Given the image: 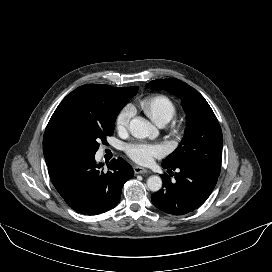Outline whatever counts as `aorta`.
Instances as JSON below:
<instances>
[{
  "instance_id": "aorta-1",
  "label": "aorta",
  "mask_w": 272,
  "mask_h": 272,
  "mask_svg": "<svg viewBox=\"0 0 272 272\" xmlns=\"http://www.w3.org/2000/svg\"><path fill=\"white\" fill-rule=\"evenodd\" d=\"M129 129L136 138H155L158 134L156 128L147 120L136 117L130 121ZM147 187L152 192H157L162 187V180L159 176H150L147 179Z\"/></svg>"
}]
</instances>
